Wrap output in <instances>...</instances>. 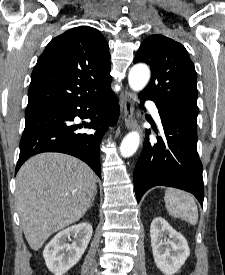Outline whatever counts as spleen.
<instances>
[{
    "label": "spleen",
    "instance_id": "3e777b00",
    "mask_svg": "<svg viewBox=\"0 0 225 275\" xmlns=\"http://www.w3.org/2000/svg\"><path fill=\"white\" fill-rule=\"evenodd\" d=\"M164 201L170 216L181 218L192 225L197 224L198 208L190 194L175 188H167Z\"/></svg>",
    "mask_w": 225,
    "mask_h": 275
}]
</instances>
